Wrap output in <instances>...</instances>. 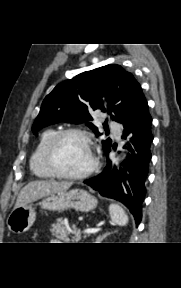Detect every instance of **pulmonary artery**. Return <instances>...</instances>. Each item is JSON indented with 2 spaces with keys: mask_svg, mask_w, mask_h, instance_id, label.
<instances>
[{
  "mask_svg": "<svg viewBox=\"0 0 181 288\" xmlns=\"http://www.w3.org/2000/svg\"><path fill=\"white\" fill-rule=\"evenodd\" d=\"M110 125H111V128L113 129V131L116 133L117 137H119L120 136V128L117 125V123L112 121Z\"/></svg>",
  "mask_w": 181,
  "mask_h": 288,
  "instance_id": "pulmonary-artery-1",
  "label": "pulmonary artery"
}]
</instances>
